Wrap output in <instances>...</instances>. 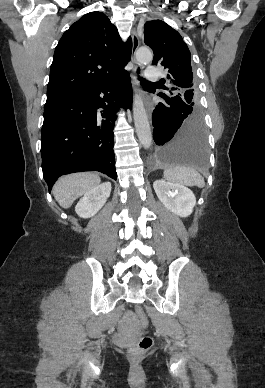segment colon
Instances as JSON below:
<instances>
[{
	"label": "colon",
	"mask_w": 265,
	"mask_h": 388,
	"mask_svg": "<svg viewBox=\"0 0 265 388\" xmlns=\"http://www.w3.org/2000/svg\"><path fill=\"white\" fill-rule=\"evenodd\" d=\"M136 315L139 324L142 328H147L149 321L143 307L138 304L136 305ZM153 345V340L150 336H142L138 339L136 344L131 348L133 354H139L141 352L149 350Z\"/></svg>",
	"instance_id": "5ec220e1"
}]
</instances>
